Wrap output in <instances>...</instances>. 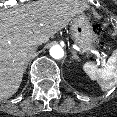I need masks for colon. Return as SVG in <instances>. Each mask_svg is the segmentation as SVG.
<instances>
[{"label":"colon","mask_w":117,"mask_h":117,"mask_svg":"<svg viewBox=\"0 0 117 117\" xmlns=\"http://www.w3.org/2000/svg\"><path fill=\"white\" fill-rule=\"evenodd\" d=\"M94 31L96 33H100L101 32V28L99 26H95Z\"/></svg>","instance_id":"5ec220e1"}]
</instances>
